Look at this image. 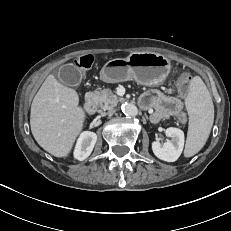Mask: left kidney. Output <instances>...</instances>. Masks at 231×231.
<instances>
[{
  "label": "left kidney",
  "instance_id": "left-kidney-1",
  "mask_svg": "<svg viewBox=\"0 0 231 231\" xmlns=\"http://www.w3.org/2000/svg\"><path fill=\"white\" fill-rule=\"evenodd\" d=\"M165 134L170 140L164 144L159 141L152 142V151L154 155L166 162L176 161L184 148V132L179 128L169 127L165 130Z\"/></svg>",
  "mask_w": 231,
  "mask_h": 231
}]
</instances>
